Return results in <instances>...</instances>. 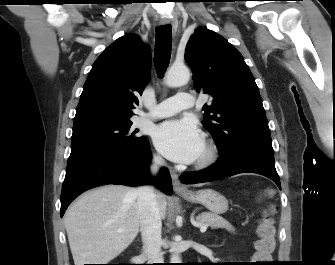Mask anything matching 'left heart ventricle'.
<instances>
[{
	"mask_svg": "<svg viewBox=\"0 0 335 265\" xmlns=\"http://www.w3.org/2000/svg\"><path fill=\"white\" fill-rule=\"evenodd\" d=\"M203 153H204V148H203V150H202V152H201L200 156H202V154H203ZM200 156H199V157H200Z\"/></svg>",
	"mask_w": 335,
	"mask_h": 265,
	"instance_id": "b2bd125f",
	"label": "left heart ventricle"
}]
</instances>
